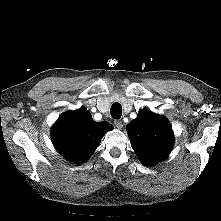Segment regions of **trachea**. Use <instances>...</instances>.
<instances>
[{"label":"trachea","mask_w":221,"mask_h":221,"mask_svg":"<svg viewBox=\"0 0 221 221\" xmlns=\"http://www.w3.org/2000/svg\"><path fill=\"white\" fill-rule=\"evenodd\" d=\"M110 114L114 119H120L122 116V107L119 103H114L110 108Z\"/></svg>","instance_id":"trachea-1"}]
</instances>
